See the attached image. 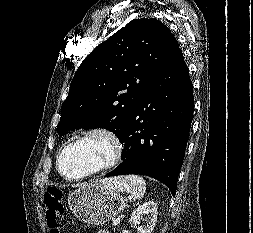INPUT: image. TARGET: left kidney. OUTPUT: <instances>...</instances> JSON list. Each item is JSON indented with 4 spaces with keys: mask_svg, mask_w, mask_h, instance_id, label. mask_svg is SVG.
I'll return each instance as SVG.
<instances>
[{
    "mask_svg": "<svg viewBox=\"0 0 253 233\" xmlns=\"http://www.w3.org/2000/svg\"><path fill=\"white\" fill-rule=\"evenodd\" d=\"M146 215V224L138 229V233H152L157 220V207L154 201H148L136 208L131 214L129 223H139Z\"/></svg>",
    "mask_w": 253,
    "mask_h": 233,
    "instance_id": "obj_1",
    "label": "left kidney"
}]
</instances>
